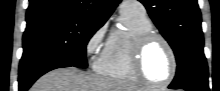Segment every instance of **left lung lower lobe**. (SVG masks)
I'll return each instance as SVG.
<instances>
[{
    "label": "left lung lower lobe",
    "instance_id": "1",
    "mask_svg": "<svg viewBox=\"0 0 220 91\" xmlns=\"http://www.w3.org/2000/svg\"><path fill=\"white\" fill-rule=\"evenodd\" d=\"M170 89H174V87L172 86H169ZM179 89H184L186 91H208L209 88L206 87V88H201V87H181Z\"/></svg>",
    "mask_w": 220,
    "mask_h": 91
}]
</instances>
